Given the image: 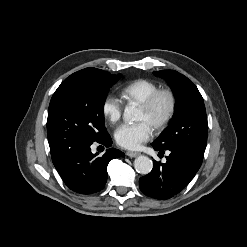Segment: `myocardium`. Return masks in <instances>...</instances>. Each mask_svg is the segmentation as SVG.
I'll return each instance as SVG.
<instances>
[{
    "mask_svg": "<svg viewBox=\"0 0 247 247\" xmlns=\"http://www.w3.org/2000/svg\"><path fill=\"white\" fill-rule=\"evenodd\" d=\"M162 97L167 98L168 108L164 116L153 125V128L157 131L164 129L174 117L177 107V98L175 93L171 89L167 88L158 89L140 104V108L147 112H151L157 104L158 100Z\"/></svg>",
    "mask_w": 247,
    "mask_h": 247,
    "instance_id": "f54148a6",
    "label": "myocardium"
}]
</instances>
